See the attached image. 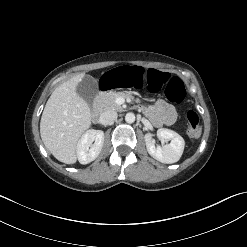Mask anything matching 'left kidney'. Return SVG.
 <instances>
[{
  "label": "left kidney",
  "mask_w": 247,
  "mask_h": 247,
  "mask_svg": "<svg viewBox=\"0 0 247 247\" xmlns=\"http://www.w3.org/2000/svg\"><path fill=\"white\" fill-rule=\"evenodd\" d=\"M157 136L162 143H167L168 141L170 143L163 144L162 147L156 146L152 136L146 134L145 143L148 153L162 163L172 164L177 162L184 150V139L178 133L166 128L158 129Z\"/></svg>",
  "instance_id": "5707ae66"
}]
</instances>
